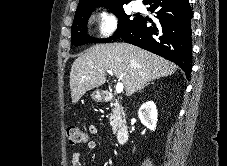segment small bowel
Here are the masks:
<instances>
[{
  "label": "small bowel",
  "mask_w": 227,
  "mask_h": 166,
  "mask_svg": "<svg viewBox=\"0 0 227 166\" xmlns=\"http://www.w3.org/2000/svg\"><path fill=\"white\" fill-rule=\"evenodd\" d=\"M88 130L91 135H96L98 133V129L95 125H90ZM95 146L96 142L94 140L88 141L87 147L89 149H93ZM72 166H82L81 156L78 152H75L72 156Z\"/></svg>",
  "instance_id": "obj_1"
}]
</instances>
